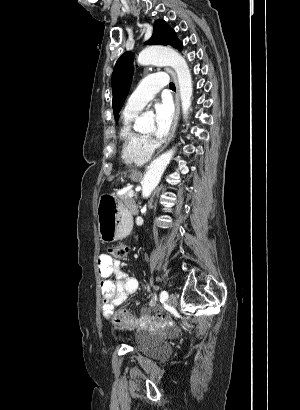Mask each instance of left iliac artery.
<instances>
[{"instance_id": "obj_1", "label": "left iliac artery", "mask_w": 300, "mask_h": 410, "mask_svg": "<svg viewBox=\"0 0 300 410\" xmlns=\"http://www.w3.org/2000/svg\"><path fill=\"white\" fill-rule=\"evenodd\" d=\"M167 298H168L167 291H162L161 294H160V301L162 302V301L166 300Z\"/></svg>"}]
</instances>
